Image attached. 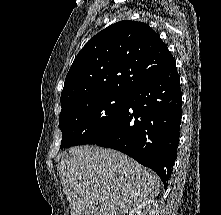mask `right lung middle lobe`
Returning a JSON list of instances; mask_svg holds the SVG:
<instances>
[{
    "mask_svg": "<svg viewBox=\"0 0 221 215\" xmlns=\"http://www.w3.org/2000/svg\"><path fill=\"white\" fill-rule=\"evenodd\" d=\"M127 94L109 93L74 102L61 110L60 148L90 144L108 132L121 116Z\"/></svg>",
    "mask_w": 221,
    "mask_h": 215,
    "instance_id": "obj_1",
    "label": "right lung middle lobe"
}]
</instances>
